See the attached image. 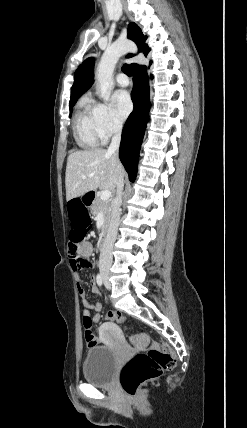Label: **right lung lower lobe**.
Listing matches in <instances>:
<instances>
[{"mask_svg": "<svg viewBox=\"0 0 247 428\" xmlns=\"http://www.w3.org/2000/svg\"><path fill=\"white\" fill-rule=\"evenodd\" d=\"M132 74L134 90L131 94V99L134 109L129 115L122 131L119 157L129 175V180L133 182L137 173L140 146L148 122L150 103L146 66L138 65L133 67Z\"/></svg>", "mask_w": 247, "mask_h": 428, "instance_id": "1", "label": "right lung lower lobe"}]
</instances>
